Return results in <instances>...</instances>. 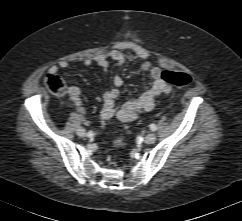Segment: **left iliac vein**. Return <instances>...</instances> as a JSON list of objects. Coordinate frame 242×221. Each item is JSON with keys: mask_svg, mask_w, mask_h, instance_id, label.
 <instances>
[{"mask_svg": "<svg viewBox=\"0 0 242 221\" xmlns=\"http://www.w3.org/2000/svg\"><path fill=\"white\" fill-rule=\"evenodd\" d=\"M156 141V135L154 133H149L145 136V143L153 144Z\"/></svg>", "mask_w": 242, "mask_h": 221, "instance_id": "1", "label": "left iliac vein"}]
</instances>
